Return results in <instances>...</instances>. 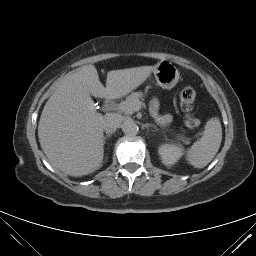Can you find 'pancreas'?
Masks as SVG:
<instances>
[{
	"label": "pancreas",
	"instance_id": "1",
	"mask_svg": "<svg viewBox=\"0 0 256 256\" xmlns=\"http://www.w3.org/2000/svg\"><path fill=\"white\" fill-rule=\"evenodd\" d=\"M144 97V94L142 92H135L129 95L124 102H121L119 104V110L121 112H124L125 114H132L134 112L133 106L140 102V99ZM121 106H124L125 108H121ZM181 138L184 140L185 143H190L189 139L181 136Z\"/></svg>",
	"mask_w": 256,
	"mask_h": 256
}]
</instances>
